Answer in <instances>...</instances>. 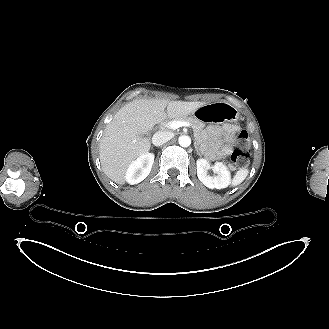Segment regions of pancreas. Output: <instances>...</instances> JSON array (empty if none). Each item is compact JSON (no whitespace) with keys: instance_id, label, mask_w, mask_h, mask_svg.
I'll return each instance as SVG.
<instances>
[{"instance_id":"pancreas-1","label":"pancreas","mask_w":329,"mask_h":329,"mask_svg":"<svg viewBox=\"0 0 329 329\" xmlns=\"http://www.w3.org/2000/svg\"><path fill=\"white\" fill-rule=\"evenodd\" d=\"M173 121L189 122L190 125L192 126V128L194 129V131H200L203 128V123L201 121H199L198 119L194 118V117H181V118H178V119H174ZM230 168L232 170L234 169V167L232 165H230Z\"/></svg>"}]
</instances>
